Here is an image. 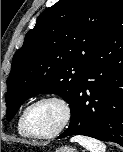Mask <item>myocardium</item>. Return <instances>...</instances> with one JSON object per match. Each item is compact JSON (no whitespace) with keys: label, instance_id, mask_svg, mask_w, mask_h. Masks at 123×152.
<instances>
[{"label":"myocardium","instance_id":"f54148a6","mask_svg":"<svg viewBox=\"0 0 123 152\" xmlns=\"http://www.w3.org/2000/svg\"><path fill=\"white\" fill-rule=\"evenodd\" d=\"M45 101H53V102L58 103L63 109L64 117L59 127L55 129L54 131L47 134H37L33 132L28 125V115H29L30 110L34 106ZM71 118H72V109H71L70 103L64 97L60 95L47 94V95H43L37 98L24 109L23 115H22V125H23L24 130L30 137H33L36 139H50L61 134L69 125Z\"/></svg>","mask_w":123,"mask_h":152}]
</instances>
